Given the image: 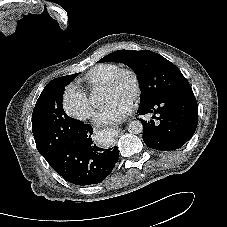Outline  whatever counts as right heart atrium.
Listing matches in <instances>:
<instances>
[{
    "instance_id": "1",
    "label": "right heart atrium",
    "mask_w": 227,
    "mask_h": 227,
    "mask_svg": "<svg viewBox=\"0 0 227 227\" xmlns=\"http://www.w3.org/2000/svg\"><path fill=\"white\" fill-rule=\"evenodd\" d=\"M62 107L66 114L80 121L92 119L96 112L88 94L74 86L65 89Z\"/></svg>"
}]
</instances>
